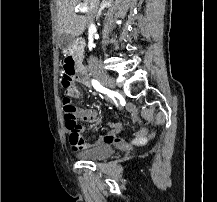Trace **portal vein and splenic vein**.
<instances>
[{
  "instance_id": "portal-vein-and-splenic-vein-1",
  "label": "portal vein and splenic vein",
  "mask_w": 217,
  "mask_h": 202,
  "mask_svg": "<svg viewBox=\"0 0 217 202\" xmlns=\"http://www.w3.org/2000/svg\"><path fill=\"white\" fill-rule=\"evenodd\" d=\"M82 10H87V8H82Z\"/></svg>"
}]
</instances>
